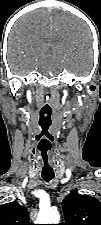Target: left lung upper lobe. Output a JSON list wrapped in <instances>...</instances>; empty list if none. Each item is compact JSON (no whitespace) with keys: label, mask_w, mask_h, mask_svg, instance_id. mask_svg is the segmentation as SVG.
<instances>
[{"label":"left lung upper lobe","mask_w":101,"mask_h":225,"mask_svg":"<svg viewBox=\"0 0 101 225\" xmlns=\"http://www.w3.org/2000/svg\"><path fill=\"white\" fill-rule=\"evenodd\" d=\"M62 207L65 215L62 225H101V203L92 196L71 191Z\"/></svg>","instance_id":"1"}]
</instances>
